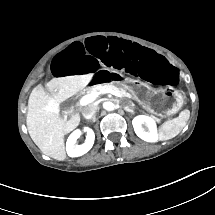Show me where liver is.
<instances>
[{
    "instance_id": "1",
    "label": "liver",
    "mask_w": 215,
    "mask_h": 215,
    "mask_svg": "<svg viewBox=\"0 0 215 215\" xmlns=\"http://www.w3.org/2000/svg\"><path fill=\"white\" fill-rule=\"evenodd\" d=\"M92 73L53 78L45 87L34 88L29 96L27 128L35 144L46 155L57 159L66 158L64 135L75 129L80 122L78 113L69 120L60 117V103L81 91Z\"/></svg>"
}]
</instances>
